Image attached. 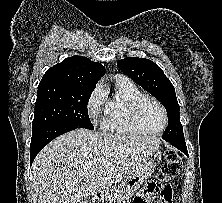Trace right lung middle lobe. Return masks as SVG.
Returning <instances> with one entry per match:
<instances>
[{
  "label": "right lung middle lobe",
  "mask_w": 222,
  "mask_h": 203,
  "mask_svg": "<svg viewBox=\"0 0 222 203\" xmlns=\"http://www.w3.org/2000/svg\"><path fill=\"white\" fill-rule=\"evenodd\" d=\"M94 88L50 87L37 92L32 130L53 125L73 124L94 129L87 104Z\"/></svg>",
  "instance_id": "right-lung-middle-lobe-1"
}]
</instances>
